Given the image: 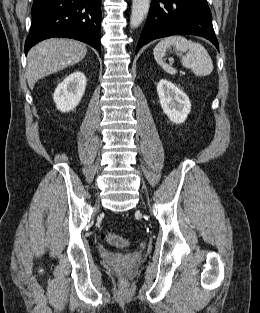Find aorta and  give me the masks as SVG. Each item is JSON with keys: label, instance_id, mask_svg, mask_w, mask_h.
<instances>
[{"label": "aorta", "instance_id": "762f6f07", "mask_svg": "<svg viewBox=\"0 0 260 313\" xmlns=\"http://www.w3.org/2000/svg\"><path fill=\"white\" fill-rule=\"evenodd\" d=\"M151 0H132V9L130 16V25L133 28L138 27L149 11Z\"/></svg>", "mask_w": 260, "mask_h": 313}]
</instances>
